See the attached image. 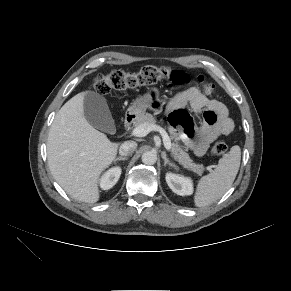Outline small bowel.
I'll return each instance as SVG.
<instances>
[{"instance_id":"obj_1","label":"small bowel","mask_w":291,"mask_h":291,"mask_svg":"<svg viewBox=\"0 0 291 291\" xmlns=\"http://www.w3.org/2000/svg\"><path fill=\"white\" fill-rule=\"evenodd\" d=\"M186 107L203 115V123L199 127L194 126ZM166 111L170 124L181 130L184 144L199 156L207 151L214 140L220 136H228L234 128L227 107L208 98L196 88L176 94Z\"/></svg>"}]
</instances>
